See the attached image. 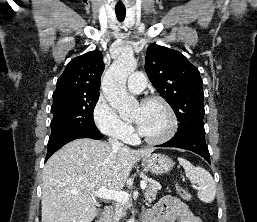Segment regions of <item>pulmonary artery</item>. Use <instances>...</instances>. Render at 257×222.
<instances>
[{"label":"pulmonary artery","mask_w":257,"mask_h":222,"mask_svg":"<svg viewBox=\"0 0 257 222\" xmlns=\"http://www.w3.org/2000/svg\"><path fill=\"white\" fill-rule=\"evenodd\" d=\"M146 83V76L142 72H136L129 77L127 86L129 91L133 93H140L146 87Z\"/></svg>","instance_id":"e3ab8cb5"}]
</instances>
